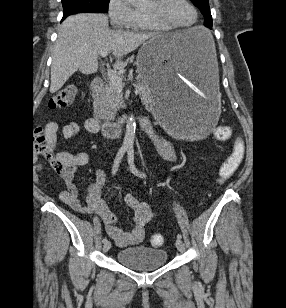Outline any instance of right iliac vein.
<instances>
[{
    "mask_svg": "<svg viewBox=\"0 0 286 308\" xmlns=\"http://www.w3.org/2000/svg\"><path fill=\"white\" fill-rule=\"evenodd\" d=\"M110 248H111L110 241H107L106 243H104V245H103V251L104 252H108Z\"/></svg>",
    "mask_w": 286,
    "mask_h": 308,
    "instance_id": "obj_1",
    "label": "right iliac vein"
}]
</instances>
